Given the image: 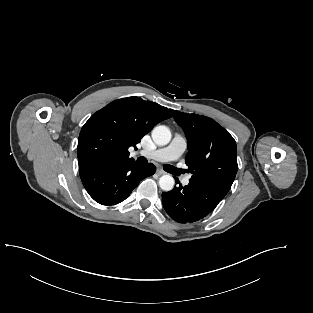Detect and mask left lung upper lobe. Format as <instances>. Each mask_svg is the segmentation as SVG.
Wrapping results in <instances>:
<instances>
[{
    "instance_id": "left-lung-upper-lobe-1",
    "label": "left lung upper lobe",
    "mask_w": 313,
    "mask_h": 313,
    "mask_svg": "<svg viewBox=\"0 0 313 313\" xmlns=\"http://www.w3.org/2000/svg\"><path fill=\"white\" fill-rule=\"evenodd\" d=\"M188 143L190 182L227 194L235 179L237 146L230 133L213 119L172 110Z\"/></svg>"
}]
</instances>
